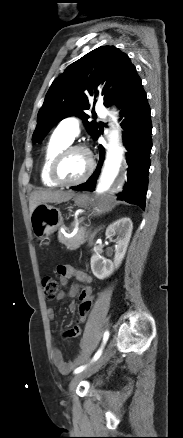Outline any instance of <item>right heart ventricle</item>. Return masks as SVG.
Listing matches in <instances>:
<instances>
[{"mask_svg": "<svg viewBox=\"0 0 183 438\" xmlns=\"http://www.w3.org/2000/svg\"><path fill=\"white\" fill-rule=\"evenodd\" d=\"M71 143L72 140L57 130L49 138L43 151L40 166V178L45 187L53 188L57 186L49 177V169L56 154Z\"/></svg>", "mask_w": 183, "mask_h": 438, "instance_id": "obj_1", "label": "right heart ventricle"}]
</instances>
